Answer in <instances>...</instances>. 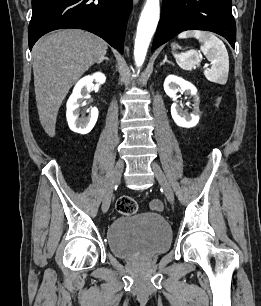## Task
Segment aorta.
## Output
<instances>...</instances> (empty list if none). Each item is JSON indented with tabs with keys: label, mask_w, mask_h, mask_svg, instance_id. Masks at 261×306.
Segmentation results:
<instances>
[{
	"label": "aorta",
	"mask_w": 261,
	"mask_h": 306,
	"mask_svg": "<svg viewBox=\"0 0 261 306\" xmlns=\"http://www.w3.org/2000/svg\"><path fill=\"white\" fill-rule=\"evenodd\" d=\"M160 16L159 0H146L141 13L134 47V57L137 66L144 63L149 44L156 30Z\"/></svg>",
	"instance_id": "aorta-1"
}]
</instances>
